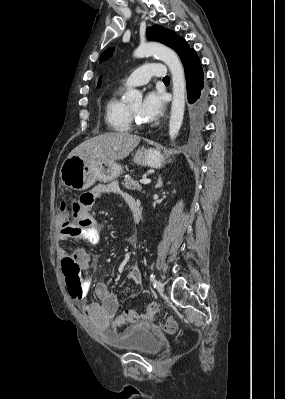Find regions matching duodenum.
<instances>
[{"mask_svg": "<svg viewBox=\"0 0 285 399\" xmlns=\"http://www.w3.org/2000/svg\"><path fill=\"white\" fill-rule=\"evenodd\" d=\"M133 216H134V219H135L137 222L140 221V218H141V211H140L139 208H137V207L133 208Z\"/></svg>", "mask_w": 285, "mask_h": 399, "instance_id": "410a0bca", "label": "duodenum"}]
</instances>
